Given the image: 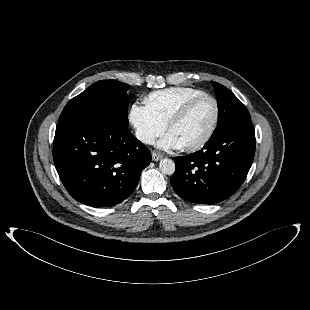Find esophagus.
<instances>
[{
	"label": "esophagus",
	"mask_w": 310,
	"mask_h": 310,
	"mask_svg": "<svg viewBox=\"0 0 310 310\" xmlns=\"http://www.w3.org/2000/svg\"><path fill=\"white\" fill-rule=\"evenodd\" d=\"M151 156L153 161H159L160 159H162V155L155 151H152Z\"/></svg>",
	"instance_id": "esophagus-1"
}]
</instances>
